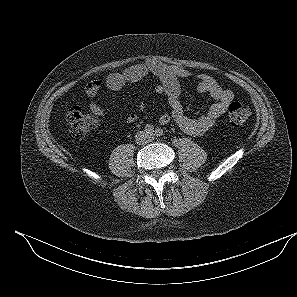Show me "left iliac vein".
<instances>
[{
	"label": "left iliac vein",
	"instance_id": "left-iliac-vein-1",
	"mask_svg": "<svg viewBox=\"0 0 297 297\" xmlns=\"http://www.w3.org/2000/svg\"><path fill=\"white\" fill-rule=\"evenodd\" d=\"M149 139H150V140H152V139H153V137H151V135H150V136H149Z\"/></svg>",
	"mask_w": 297,
	"mask_h": 297
}]
</instances>
